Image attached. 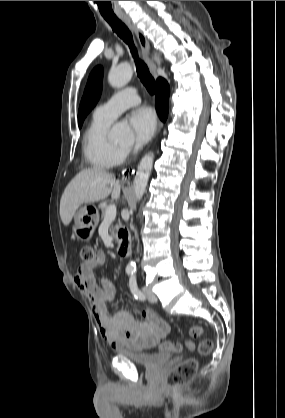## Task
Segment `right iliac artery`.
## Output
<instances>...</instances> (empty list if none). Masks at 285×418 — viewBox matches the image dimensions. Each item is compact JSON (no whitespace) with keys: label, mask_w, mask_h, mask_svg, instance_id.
Listing matches in <instances>:
<instances>
[{"label":"right iliac artery","mask_w":285,"mask_h":418,"mask_svg":"<svg viewBox=\"0 0 285 418\" xmlns=\"http://www.w3.org/2000/svg\"><path fill=\"white\" fill-rule=\"evenodd\" d=\"M127 273H128L129 275H132V274H134V270H133V269H131V268H129V269H127Z\"/></svg>","instance_id":"obj_1"}]
</instances>
